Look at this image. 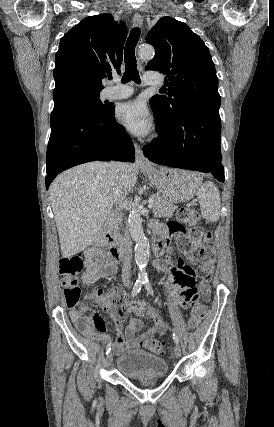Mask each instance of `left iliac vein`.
<instances>
[{"instance_id":"left-iliac-vein-1","label":"left iliac vein","mask_w":274,"mask_h":427,"mask_svg":"<svg viewBox=\"0 0 274 427\" xmlns=\"http://www.w3.org/2000/svg\"><path fill=\"white\" fill-rule=\"evenodd\" d=\"M174 354L177 359L181 357V347L179 344H176L174 347Z\"/></svg>"}]
</instances>
